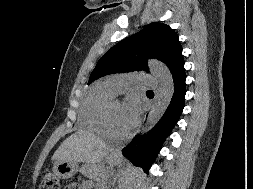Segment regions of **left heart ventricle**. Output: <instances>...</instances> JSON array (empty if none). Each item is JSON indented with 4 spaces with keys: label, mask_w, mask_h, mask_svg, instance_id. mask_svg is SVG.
<instances>
[{
    "label": "left heart ventricle",
    "mask_w": 253,
    "mask_h": 189,
    "mask_svg": "<svg viewBox=\"0 0 253 189\" xmlns=\"http://www.w3.org/2000/svg\"><path fill=\"white\" fill-rule=\"evenodd\" d=\"M109 120L111 128L116 132H125L130 126L125 118L124 104L114 102L110 108Z\"/></svg>",
    "instance_id": "left-heart-ventricle-1"
}]
</instances>
